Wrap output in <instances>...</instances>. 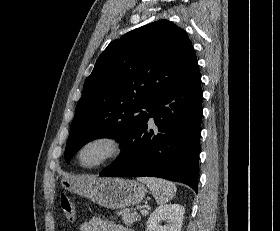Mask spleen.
I'll return each mask as SVG.
<instances>
[{
	"instance_id": "1",
	"label": "spleen",
	"mask_w": 280,
	"mask_h": 231,
	"mask_svg": "<svg viewBox=\"0 0 280 231\" xmlns=\"http://www.w3.org/2000/svg\"><path fill=\"white\" fill-rule=\"evenodd\" d=\"M137 179L148 185L159 205L170 201L176 193L175 183L167 181V179H160V177H137Z\"/></svg>"
}]
</instances>
